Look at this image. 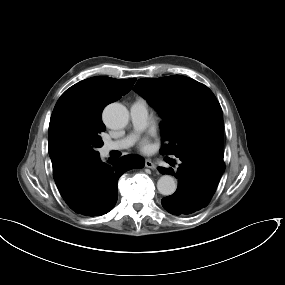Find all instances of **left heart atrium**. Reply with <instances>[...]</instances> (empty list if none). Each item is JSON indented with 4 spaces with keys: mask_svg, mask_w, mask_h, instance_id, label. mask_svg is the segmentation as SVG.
<instances>
[{
    "mask_svg": "<svg viewBox=\"0 0 285 285\" xmlns=\"http://www.w3.org/2000/svg\"><path fill=\"white\" fill-rule=\"evenodd\" d=\"M140 147L142 149H147L148 148V140L147 139H143L140 143Z\"/></svg>",
    "mask_w": 285,
    "mask_h": 285,
    "instance_id": "1",
    "label": "left heart atrium"
}]
</instances>
